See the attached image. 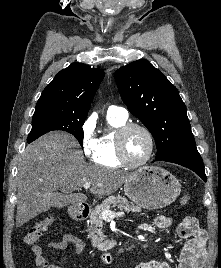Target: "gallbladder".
<instances>
[{"instance_id": "gallbladder-1", "label": "gallbladder", "mask_w": 221, "mask_h": 268, "mask_svg": "<svg viewBox=\"0 0 221 268\" xmlns=\"http://www.w3.org/2000/svg\"><path fill=\"white\" fill-rule=\"evenodd\" d=\"M56 197L58 198V201H57L56 205L53 207L61 208V207L67 206L70 203L69 197H67L64 194L57 193ZM54 202H56V201H54Z\"/></svg>"}]
</instances>
